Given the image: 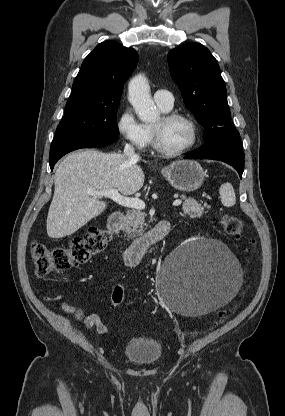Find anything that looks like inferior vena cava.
<instances>
[{
	"label": "inferior vena cava",
	"instance_id": "inferior-vena-cava-1",
	"mask_svg": "<svg viewBox=\"0 0 285 416\" xmlns=\"http://www.w3.org/2000/svg\"><path fill=\"white\" fill-rule=\"evenodd\" d=\"M124 156H127L129 162H132V164H137L140 158L138 154H135V150L133 146H130V144H126L124 148Z\"/></svg>",
	"mask_w": 285,
	"mask_h": 416
}]
</instances>
